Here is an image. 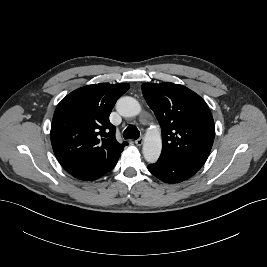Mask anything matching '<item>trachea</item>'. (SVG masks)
Returning <instances> with one entry per match:
<instances>
[{"mask_svg": "<svg viewBox=\"0 0 267 267\" xmlns=\"http://www.w3.org/2000/svg\"><path fill=\"white\" fill-rule=\"evenodd\" d=\"M140 136V132L134 125H129L123 132L124 139H134L137 140Z\"/></svg>", "mask_w": 267, "mask_h": 267, "instance_id": "3493384b", "label": "trachea"}]
</instances>
